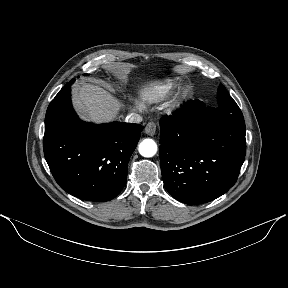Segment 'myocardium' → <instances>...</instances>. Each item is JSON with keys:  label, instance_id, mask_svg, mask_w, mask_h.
Returning a JSON list of instances; mask_svg holds the SVG:
<instances>
[{"label": "myocardium", "instance_id": "obj_1", "mask_svg": "<svg viewBox=\"0 0 288 288\" xmlns=\"http://www.w3.org/2000/svg\"><path fill=\"white\" fill-rule=\"evenodd\" d=\"M192 95V89L189 85H183L176 93L172 102V109L178 110L184 106V104L190 99Z\"/></svg>", "mask_w": 288, "mask_h": 288}]
</instances>
